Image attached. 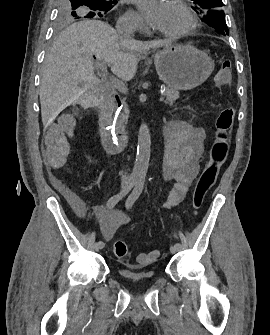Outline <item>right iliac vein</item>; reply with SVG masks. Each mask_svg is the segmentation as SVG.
Segmentation results:
<instances>
[{
    "label": "right iliac vein",
    "instance_id": "right-iliac-vein-1",
    "mask_svg": "<svg viewBox=\"0 0 270 335\" xmlns=\"http://www.w3.org/2000/svg\"><path fill=\"white\" fill-rule=\"evenodd\" d=\"M93 249L95 251H98L100 249L99 246H98V244H97V242L93 245Z\"/></svg>",
    "mask_w": 270,
    "mask_h": 335
}]
</instances>
